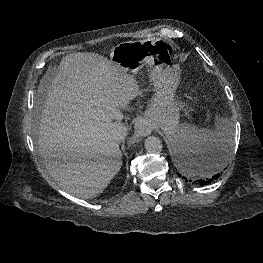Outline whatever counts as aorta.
<instances>
[{
  "mask_svg": "<svg viewBox=\"0 0 263 263\" xmlns=\"http://www.w3.org/2000/svg\"><path fill=\"white\" fill-rule=\"evenodd\" d=\"M162 143L159 138L150 136L145 139V149L151 154H158L162 151Z\"/></svg>",
  "mask_w": 263,
  "mask_h": 263,
  "instance_id": "aorta-1",
  "label": "aorta"
}]
</instances>
